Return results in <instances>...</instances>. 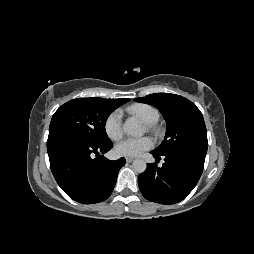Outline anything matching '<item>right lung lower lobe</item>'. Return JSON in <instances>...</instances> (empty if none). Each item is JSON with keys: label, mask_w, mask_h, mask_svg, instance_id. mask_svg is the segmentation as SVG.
<instances>
[{"label": "right lung lower lobe", "mask_w": 254, "mask_h": 254, "mask_svg": "<svg viewBox=\"0 0 254 254\" xmlns=\"http://www.w3.org/2000/svg\"><path fill=\"white\" fill-rule=\"evenodd\" d=\"M112 147L111 141L97 144L61 130L49 131L50 167L61 189L83 204L106 200L126 163L124 158L111 161L103 156Z\"/></svg>", "instance_id": "1"}]
</instances>
